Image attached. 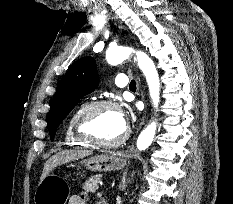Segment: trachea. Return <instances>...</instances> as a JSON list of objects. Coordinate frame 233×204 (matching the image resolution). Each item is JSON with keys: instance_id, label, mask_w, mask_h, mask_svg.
Returning <instances> with one entry per match:
<instances>
[{"instance_id": "obj_1", "label": "trachea", "mask_w": 233, "mask_h": 204, "mask_svg": "<svg viewBox=\"0 0 233 204\" xmlns=\"http://www.w3.org/2000/svg\"><path fill=\"white\" fill-rule=\"evenodd\" d=\"M129 88H130V89H136V82H135V80H132V81L130 82Z\"/></svg>"}]
</instances>
